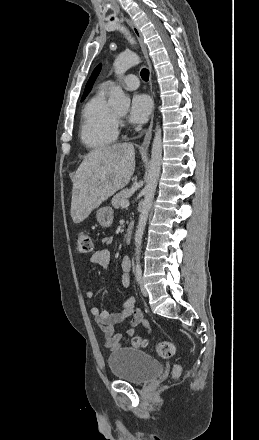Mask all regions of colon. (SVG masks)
<instances>
[{
	"label": "colon",
	"mask_w": 259,
	"mask_h": 440,
	"mask_svg": "<svg viewBox=\"0 0 259 440\" xmlns=\"http://www.w3.org/2000/svg\"><path fill=\"white\" fill-rule=\"evenodd\" d=\"M94 243L91 235L86 231L78 232L76 236V250L79 253H89L93 250ZM132 345L135 347H144L147 342L141 337H134ZM156 353L162 358H170L176 353V346L170 341H159L155 345ZM180 373V366L175 365L173 368V375L177 376Z\"/></svg>",
	"instance_id": "obj_1"
}]
</instances>
